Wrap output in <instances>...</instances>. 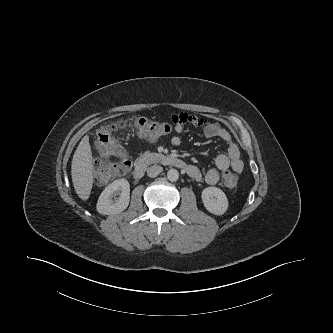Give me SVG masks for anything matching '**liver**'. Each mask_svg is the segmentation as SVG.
Returning a JSON list of instances; mask_svg holds the SVG:
<instances>
[{
	"mask_svg": "<svg viewBox=\"0 0 333 333\" xmlns=\"http://www.w3.org/2000/svg\"><path fill=\"white\" fill-rule=\"evenodd\" d=\"M93 168L94 159L89 142V135H85L74 153L71 164L74 189L78 196L84 201L89 198L93 186Z\"/></svg>",
	"mask_w": 333,
	"mask_h": 333,
	"instance_id": "6515ba94",
	"label": "liver"
}]
</instances>
